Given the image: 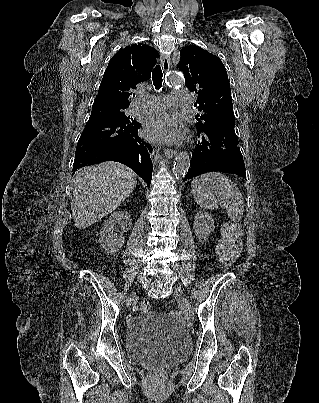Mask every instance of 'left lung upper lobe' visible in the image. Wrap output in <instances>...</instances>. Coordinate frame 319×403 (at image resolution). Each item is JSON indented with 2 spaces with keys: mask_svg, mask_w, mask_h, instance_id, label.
Returning <instances> with one entry per match:
<instances>
[{
  "mask_svg": "<svg viewBox=\"0 0 319 403\" xmlns=\"http://www.w3.org/2000/svg\"><path fill=\"white\" fill-rule=\"evenodd\" d=\"M185 75V84L198 94L197 130L221 120H234L233 104L226 69L217 56L198 46H187L180 51L177 66Z\"/></svg>",
  "mask_w": 319,
  "mask_h": 403,
  "instance_id": "left-lung-upper-lobe-1",
  "label": "left lung upper lobe"
}]
</instances>
